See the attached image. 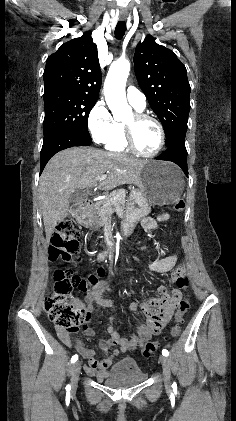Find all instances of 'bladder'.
<instances>
[{"label": "bladder", "instance_id": "31cf9c89", "mask_svg": "<svg viewBox=\"0 0 236 421\" xmlns=\"http://www.w3.org/2000/svg\"><path fill=\"white\" fill-rule=\"evenodd\" d=\"M147 374L142 372L134 358H122L112 365L103 377L107 386H131L144 382Z\"/></svg>", "mask_w": 236, "mask_h": 421}]
</instances>
